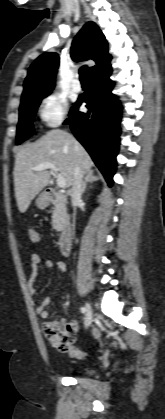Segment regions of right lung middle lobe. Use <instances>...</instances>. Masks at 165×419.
I'll list each match as a JSON object with an SVG mask.
<instances>
[{
    "label": "right lung middle lobe",
    "mask_w": 165,
    "mask_h": 419,
    "mask_svg": "<svg viewBox=\"0 0 165 419\" xmlns=\"http://www.w3.org/2000/svg\"><path fill=\"white\" fill-rule=\"evenodd\" d=\"M49 92L34 95L21 101L19 109V123L17 127L16 144L19 145L34 133L33 119L41 100Z\"/></svg>",
    "instance_id": "obj_1"
}]
</instances>
